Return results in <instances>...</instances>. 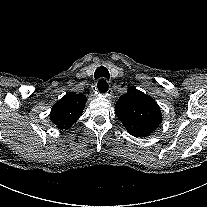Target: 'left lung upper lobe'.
<instances>
[{
  "mask_svg": "<svg viewBox=\"0 0 207 207\" xmlns=\"http://www.w3.org/2000/svg\"><path fill=\"white\" fill-rule=\"evenodd\" d=\"M115 113L127 131L136 137L149 136L162 121L157 102L134 87H129L118 99Z\"/></svg>",
  "mask_w": 207,
  "mask_h": 207,
  "instance_id": "1",
  "label": "left lung upper lobe"
}]
</instances>
